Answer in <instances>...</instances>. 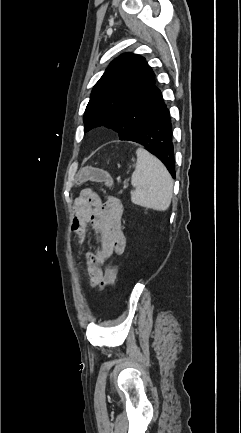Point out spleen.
Segmentation results:
<instances>
[{"mask_svg":"<svg viewBox=\"0 0 241 433\" xmlns=\"http://www.w3.org/2000/svg\"><path fill=\"white\" fill-rule=\"evenodd\" d=\"M137 163L132 174L131 201L156 211H166L171 203L173 180L163 163L143 148L136 151Z\"/></svg>","mask_w":241,"mask_h":433,"instance_id":"1","label":"spleen"}]
</instances>
